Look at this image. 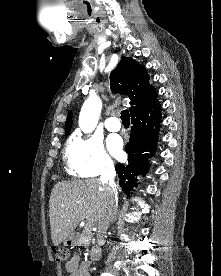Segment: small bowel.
I'll use <instances>...</instances> for the list:
<instances>
[{"label": "small bowel", "mask_w": 221, "mask_h": 276, "mask_svg": "<svg viewBox=\"0 0 221 276\" xmlns=\"http://www.w3.org/2000/svg\"><path fill=\"white\" fill-rule=\"evenodd\" d=\"M91 262L81 260L78 255H73L65 264V269L69 276H90L89 267Z\"/></svg>", "instance_id": "1"}]
</instances>
